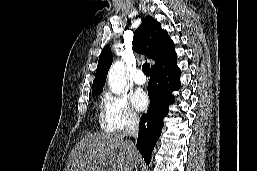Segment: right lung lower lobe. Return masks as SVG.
<instances>
[{"label": "right lung lower lobe", "instance_id": "obj_1", "mask_svg": "<svg viewBox=\"0 0 257 171\" xmlns=\"http://www.w3.org/2000/svg\"><path fill=\"white\" fill-rule=\"evenodd\" d=\"M180 75L177 60L151 69L148 84L150 106L140 119L137 139V149L147 164L150 163L152 150L161 134L163 118L169 112V105L174 102L171 92L180 88Z\"/></svg>", "mask_w": 257, "mask_h": 171}]
</instances>
